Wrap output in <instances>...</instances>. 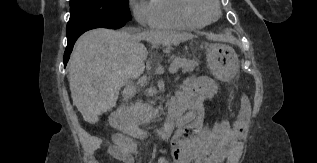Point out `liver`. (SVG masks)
I'll return each mask as SVG.
<instances>
[{
  "label": "liver",
  "instance_id": "6515ba94",
  "mask_svg": "<svg viewBox=\"0 0 317 163\" xmlns=\"http://www.w3.org/2000/svg\"><path fill=\"white\" fill-rule=\"evenodd\" d=\"M190 33L164 31H114L105 28L85 32L76 42L68 64L73 104L90 124L115 107L120 89L145 69L147 49L178 45L193 39Z\"/></svg>",
  "mask_w": 317,
  "mask_h": 163
}]
</instances>
